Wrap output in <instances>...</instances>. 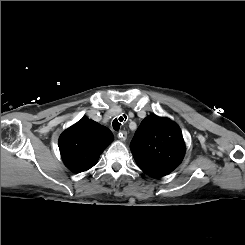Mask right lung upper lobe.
Returning a JSON list of instances; mask_svg holds the SVG:
<instances>
[{
	"label": "right lung upper lobe",
	"mask_w": 245,
	"mask_h": 245,
	"mask_svg": "<svg viewBox=\"0 0 245 245\" xmlns=\"http://www.w3.org/2000/svg\"><path fill=\"white\" fill-rule=\"evenodd\" d=\"M112 141L113 134L108 128L82 118L60 135L58 145L66 167L80 173L93 167Z\"/></svg>",
	"instance_id": "1"
}]
</instances>
